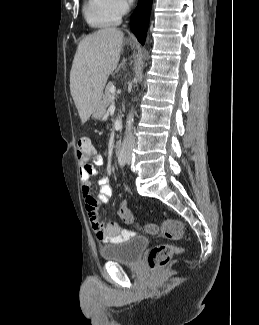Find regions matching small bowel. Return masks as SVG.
<instances>
[{"label":"small bowel","instance_id":"c3829d8e","mask_svg":"<svg viewBox=\"0 0 259 325\" xmlns=\"http://www.w3.org/2000/svg\"><path fill=\"white\" fill-rule=\"evenodd\" d=\"M103 163V157L95 150L89 160L81 161L80 180L82 196L91 227L96 237L104 243H120L130 239L133 233L116 222L104 221L98 211L99 206L107 203L110 199L112 192L110 178L108 176L101 177L98 182V193L95 196L91 193L90 180L98 174L96 166H102ZM125 190L126 192H130L128 187H125Z\"/></svg>","mask_w":259,"mask_h":325}]
</instances>
